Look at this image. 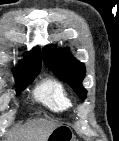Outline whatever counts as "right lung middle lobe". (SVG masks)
<instances>
[{
  "label": "right lung middle lobe",
  "instance_id": "dd1d6c3e",
  "mask_svg": "<svg viewBox=\"0 0 119 141\" xmlns=\"http://www.w3.org/2000/svg\"><path fill=\"white\" fill-rule=\"evenodd\" d=\"M39 72L40 71H35L24 75H17V93H20L22 90H24L27 85L34 80Z\"/></svg>",
  "mask_w": 119,
  "mask_h": 141
}]
</instances>
